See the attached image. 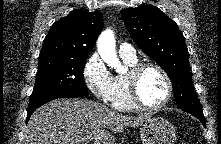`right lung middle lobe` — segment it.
<instances>
[{"label": "right lung middle lobe", "instance_id": "obj_1", "mask_svg": "<svg viewBox=\"0 0 221 144\" xmlns=\"http://www.w3.org/2000/svg\"><path fill=\"white\" fill-rule=\"evenodd\" d=\"M86 58H39L36 84L28 110L37 108L52 97L64 93L88 95L83 71Z\"/></svg>", "mask_w": 221, "mask_h": 144}]
</instances>
